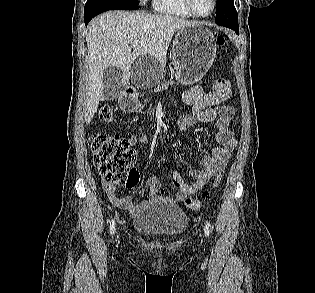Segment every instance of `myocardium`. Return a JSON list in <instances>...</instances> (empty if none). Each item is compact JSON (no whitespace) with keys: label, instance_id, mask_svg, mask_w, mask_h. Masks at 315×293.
<instances>
[{"label":"myocardium","instance_id":"myocardium-1","mask_svg":"<svg viewBox=\"0 0 315 293\" xmlns=\"http://www.w3.org/2000/svg\"><path fill=\"white\" fill-rule=\"evenodd\" d=\"M185 1H186V5H187L188 9L192 12V14L194 16L200 17V18L209 17L215 11L216 6H217V0H212L213 6H212L211 11L209 13H207V14H200L195 9L194 0H185Z\"/></svg>","mask_w":315,"mask_h":293}]
</instances>
